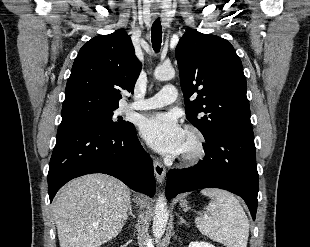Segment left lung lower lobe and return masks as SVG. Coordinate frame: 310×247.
<instances>
[{"label": "left lung lower lobe", "instance_id": "1", "mask_svg": "<svg viewBox=\"0 0 310 247\" xmlns=\"http://www.w3.org/2000/svg\"><path fill=\"white\" fill-rule=\"evenodd\" d=\"M203 161L192 168L172 169L167 176L168 200L200 188H220L242 197L255 220L258 172L251 128L223 132L204 144Z\"/></svg>", "mask_w": 310, "mask_h": 247}]
</instances>
